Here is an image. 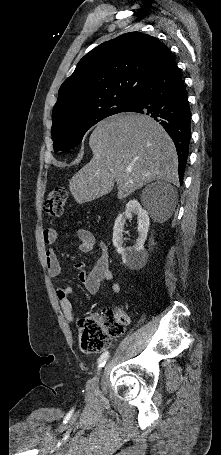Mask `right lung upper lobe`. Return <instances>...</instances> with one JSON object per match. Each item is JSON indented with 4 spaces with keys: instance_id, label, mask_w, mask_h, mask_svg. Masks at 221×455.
<instances>
[{
    "instance_id": "obj_1",
    "label": "right lung upper lobe",
    "mask_w": 221,
    "mask_h": 455,
    "mask_svg": "<svg viewBox=\"0 0 221 455\" xmlns=\"http://www.w3.org/2000/svg\"><path fill=\"white\" fill-rule=\"evenodd\" d=\"M169 53L165 44L140 32H129L100 44L79 61L73 74L62 83L53 121L106 100H133Z\"/></svg>"
}]
</instances>
